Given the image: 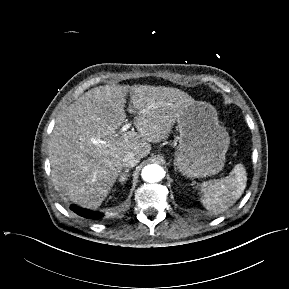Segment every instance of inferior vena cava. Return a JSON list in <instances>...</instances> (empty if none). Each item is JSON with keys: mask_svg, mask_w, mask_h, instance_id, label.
I'll list each match as a JSON object with an SVG mask.
<instances>
[{"mask_svg": "<svg viewBox=\"0 0 289 289\" xmlns=\"http://www.w3.org/2000/svg\"><path fill=\"white\" fill-rule=\"evenodd\" d=\"M141 157L133 152H128L123 158V166L131 168L136 166L140 162Z\"/></svg>", "mask_w": 289, "mask_h": 289, "instance_id": "obj_1", "label": "inferior vena cava"}]
</instances>
